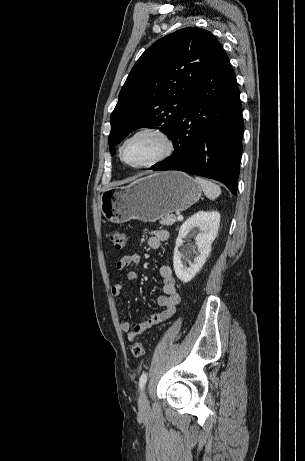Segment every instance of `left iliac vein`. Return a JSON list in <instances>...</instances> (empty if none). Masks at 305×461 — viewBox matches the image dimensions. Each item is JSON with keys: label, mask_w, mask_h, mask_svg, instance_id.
I'll return each mask as SVG.
<instances>
[{"label": "left iliac vein", "mask_w": 305, "mask_h": 461, "mask_svg": "<svg viewBox=\"0 0 305 461\" xmlns=\"http://www.w3.org/2000/svg\"><path fill=\"white\" fill-rule=\"evenodd\" d=\"M138 403H139V408L142 411H145L149 408V401H148L146 392L144 390H142L140 393Z\"/></svg>", "instance_id": "left-iliac-vein-1"}]
</instances>
